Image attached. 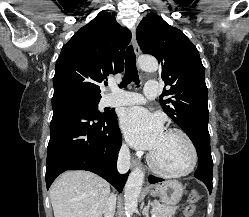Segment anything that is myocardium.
I'll return each instance as SVG.
<instances>
[{
  "label": "myocardium",
  "instance_id": "1",
  "mask_svg": "<svg viewBox=\"0 0 249 217\" xmlns=\"http://www.w3.org/2000/svg\"><path fill=\"white\" fill-rule=\"evenodd\" d=\"M165 133L178 134L184 139V141L186 142V144L188 145L189 150H190V163L184 170L177 171V172L167 171V170L160 168L156 164V162L153 159L152 152H150L147 156V161H148L150 168L156 174H158L162 177H166V178H179V177L187 176L195 169V167L197 165V161H198V153H197V149H196V146H195L193 140L184 130L179 129V128H169L166 130Z\"/></svg>",
  "mask_w": 249,
  "mask_h": 217
}]
</instances>
